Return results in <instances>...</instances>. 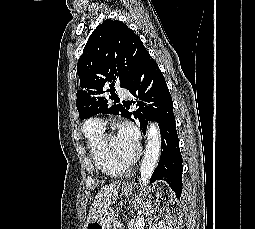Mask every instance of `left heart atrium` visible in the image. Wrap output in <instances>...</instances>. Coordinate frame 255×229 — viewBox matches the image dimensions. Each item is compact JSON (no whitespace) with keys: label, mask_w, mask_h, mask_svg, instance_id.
Listing matches in <instances>:
<instances>
[{"label":"left heart atrium","mask_w":255,"mask_h":229,"mask_svg":"<svg viewBox=\"0 0 255 229\" xmlns=\"http://www.w3.org/2000/svg\"><path fill=\"white\" fill-rule=\"evenodd\" d=\"M117 137L123 145L130 150L137 152L139 147V134L133 125L123 123L119 128Z\"/></svg>","instance_id":"left-heart-atrium-1"}]
</instances>
